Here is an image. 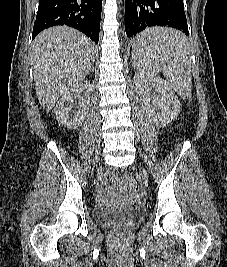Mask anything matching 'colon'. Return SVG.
Masks as SVG:
<instances>
[{
	"mask_svg": "<svg viewBox=\"0 0 227 267\" xmlns=\"http://www.w3.org/2000/svg\"><path fill=\"white\" fill-rule=\"evenodd\" d=\"M108 181L112 182L118 189L125 192L133 193L138 190V183L136 179L129 174H126L120 178H116L113 174H109Z\"/></svg>",
	"mask_w": 227,
	"mask_h": 267,
	"instance_id": "5ec220e1",
	"label": "colon"
}]
</instances>
